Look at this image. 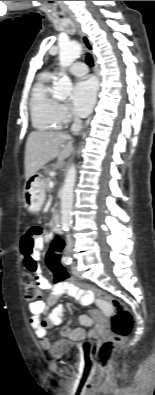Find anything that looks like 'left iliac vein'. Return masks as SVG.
<instances>
[{"label": "left iliac vein", "instance_id": "4c4485c4", "mask_svg": "<svg viewBox=\"0 0 155 395\" xmlns=\"http://www.w3.org/2000/svg\"><path fill=\"white\" fill-rule=\"evenodd\" d=\"M72 273L75 277H80L79 271L75 265L72 267Z\"/></svg>", "mask_w": 155, "mask_h": 395}]
</instances>
